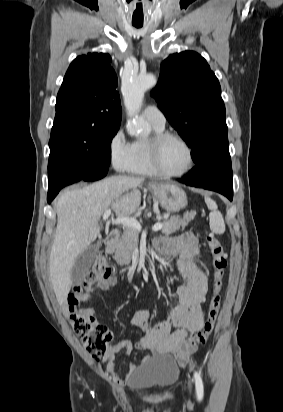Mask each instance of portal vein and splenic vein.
I'll list each match as a JSON object with an SVG mask.
<instances>
[{
    "label": "portal vein and splenic vein",
    "mask_w": 283,
    "mask_h": 412,
    "mask_svg": "<svg viewBox=\"0 0 283 412\" xmlns=\"http://www.w3.org/2000/svg\"><path fill=\"white\" fill-rule=\"evenodd\" d=\"M111 215V209H107L103 215V221H106ZM112 224L114 225H124L126 227L134 228L138 231H141L142 227L141 224L135 219L131 217H117L116 219H112ZM163 228L162 223H156L153 227V231H159Z\"/></svg>",
    "instance_id": "18ae733b"
}]
</instances>
